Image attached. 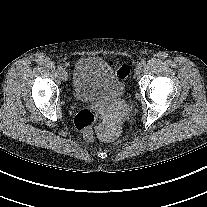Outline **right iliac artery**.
<instances>
[{
	"label": "right iliac artery",
	"mask_w": 207,
	"mask_h": 207,
	"mask_svg": "<svg viewBox=\"0 0 207 207\" xmlns=\"http://www.w3.org/2000/svg\"><path fill=\"white\" fill-rule=\"evenodd\" d=\"M57 68H58L59 71H62V70H63V66H62L61 64H59V65L57 66Z\"/></svg>",
	"instance_id": "1"
}]
</instances>
